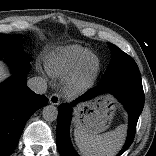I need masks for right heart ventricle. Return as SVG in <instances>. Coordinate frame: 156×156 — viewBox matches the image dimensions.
Segmentation results:
<instances>
[{
    "instance_id": "right-heart-ventricle-1",
    "label": "right heart ventricle",
    "mask_w": 156,
    "mask_h": 156,
    "mask_svg": "<svg viewBox=\"0 0 156 156\" xmlns=\"http://www.w3.org/2000/svg\"><path fill=\"white\" fill-rule=\"evenodd\" d=\"M97 60L98 57L91 50L78 45H69L50 52L46 57L45 65L50 76L66 80L81 62L92 63Z\"/></svg>"
}]
</instances>
